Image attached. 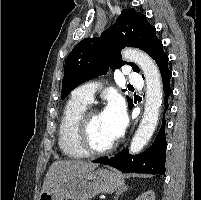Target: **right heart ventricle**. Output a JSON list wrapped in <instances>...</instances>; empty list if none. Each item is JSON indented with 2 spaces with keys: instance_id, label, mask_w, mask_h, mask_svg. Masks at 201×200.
<instances>
[{
  "instance_id": "right-heart-ventricle-1",
  "label": "right heart ventricle",
  "mask_w": 201,
  "mask_h": 200,
  "mask_svg": "<svg viewBox=\"0 0 201 200\" xmlns=\"http://www.w3.org/2000/svg\"><path fill=\"white\" fill-rule=\"evenodd\" d=\"M88 107V102L72 97L63 110L58 129V143L61 152L74 159L83 158L86 154L78 147L75 130L78 119Z\"/></svg>"
}]
</instances>
